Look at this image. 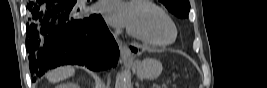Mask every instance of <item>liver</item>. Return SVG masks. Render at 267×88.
Here are the masks:
<instances>
[{
    "mask_svg": "<svg viewBox=\"0 0 267 88\" xmlns=\"http://www.w3.org/2000/svg\"><path fill=\"white\" fill-rule=\"evenodd\" d=\"M75 73L73 67L66 66L55 69L47 75L48 80L51 83L62 81L68 77H71Z\"/></svg>",
    "mask_w": 267,
    "mask_h": 88,
    "instance_id": "obj_1",
    "label": "liver"
}]
</instances>
